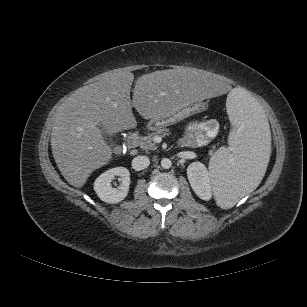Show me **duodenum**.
<instances>
[{
  "label": "duodenum",
  "mask_w": 307,
  "mask_h": 307,
  "mask_svg": "<svg viewBox=\"0 0 307 307\" xmlns=\"http://www.w3.org/2000/svg\"><path fill=\"white\" fill-rule=\"evenodd\" d=\"M139 142V134L137 132L132 133L127 140L126 147L128 150H133L137 147Z\"/></svg>",
  "instance_id": "1"
}]
</instances>
